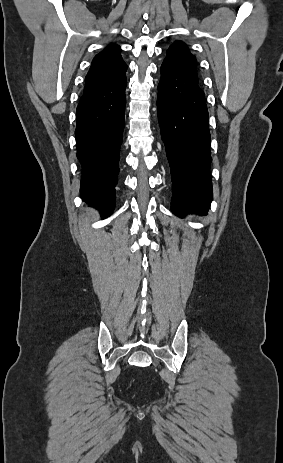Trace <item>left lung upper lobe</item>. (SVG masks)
<instances>
[{
  "instance_id": "left-lung-upper-lobe-1",
  "label": "left lung upper lobe",
  "mask_w": 283,
  "mask_h": 463,
  "mask_svg": "<svg viewBox=\"0 0 283 463\" xmlns=\"http://www.w3.org/2000/svg\"><path fill=\"white\" fill-rule=\"evenodd\" d=\"M165 60L173 64L186 75L198 81L196 73V59L189 52L187 46L183 42H176L172 44L169 47V50H167V57Z\"/></svg>"
}]
</instances>
